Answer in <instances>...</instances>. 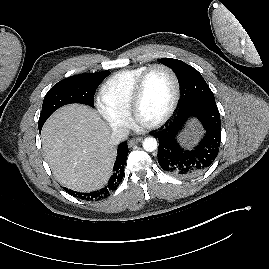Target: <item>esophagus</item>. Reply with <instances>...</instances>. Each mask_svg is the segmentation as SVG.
Segmentation results:
<instances>
[{
	"label": "esophagus",
	"mask_w": 269,
	"mask_h": 269,
	"mask_svg": "<svg viewBox=\"0 0 269 269\" xmlns=\"http://www.w3.org/2000/svg\"><path fill=\"white\" fill-rule=\"evenodd\" d=\"M142 140H143V138H141V137L133 138V139L128 141V146L132 147V146L138 144L139 142H141Z\"/></svg>",
	"instance_id": "1"
}]
</instances>
